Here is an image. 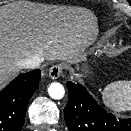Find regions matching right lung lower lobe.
Returning <instances> with one entry per match:
<instances>
[{
    "mask_svg": "<svg viewBox=\"0 0 131 131\" xmlns=\"http://www.w3.org/2000/svg\"><path fill=\"white\" fill-rule=\"evenodd\" d=\"M39 70L19 75L0 92V131H20L28 102L38 87Z\"/></svg>",
    "mask_w": 131,
    "mask_h": 131,
    "instance_id": "98d812e1",
    "label": "right lung lower lobe"
}]
</instances>
